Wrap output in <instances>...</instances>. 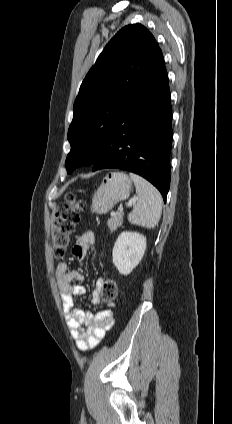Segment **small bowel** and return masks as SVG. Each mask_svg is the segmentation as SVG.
Listing matches in <instances>:
<instances>
[{
  "instance_id": "obj_1",
  "label": "small bowel",
  "mask_w": 232,
  "mask_h": 424,
  "mask_svg": "<svg viewBox=\"0 0 232 424\" xmlns=\"http://www.w3.org/2000/svg\"><path fill=\"white\" fill-rule=\"evenodd\" d=\"M94 244L95 239L92 234L81 235L72 249L74 258L78 261L84 260ZM55 279L62 302V311L76 348L87 351L97 347L114 324L112 309H103L93 314L75 306V299L86 293L84 285L75 283L83 281L84 275L77 270H70L67 263L58 264ZM103 282L102 278H98L95 282V288L91 293V302L94 305L100 304V289Z\"/></svg>"
}]
</instances>
